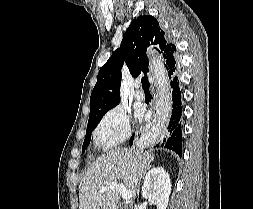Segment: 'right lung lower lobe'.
<instances>
[{
	"label": "right lung lower lobe",
	"instance_id": "obj_1",
	"mask_svg": "<svg viewBox=\"0 0 253 209\" xmlns=\"http://www.w3.org/2000/svg\"><path fill=\"white\" fill-rule=\"evenodd\" d=\"M172 94V110L168 120L163 124L158 135V146L170 149L182 156V125H181V91L177 70L168 74ZM133 136L130 138V146L133 144Z\"/></svg>",
	"mask_w": 253,
	"mask_h": 209
}]
</instances>
